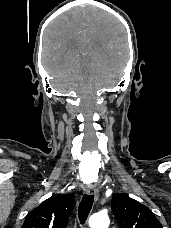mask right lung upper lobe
Instances as JSON below:
<instances>
[{"mask_svg":"<svg viewBox=\"0 0 171 228\" xmlns=\"http://www.w3.org/2000/svg\"><path fill=\"white\" fill-rule=\"evenodd\" d=\"M73 207L71 195L52 196L27 215L22 228H66Z\"/></svg>","mask_w":171,"mask_h":228,"instance_id":"right-lung-upper-lobe-1","label":"right lung upper lobe"}]
</instances>
